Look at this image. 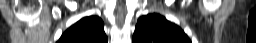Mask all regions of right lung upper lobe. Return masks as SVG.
Instances as JSON below:
<instances>
[{"label":"right lung upper lobe","instance_id":"right-lung-upper-lobe-1","mask_svg":"<svg viewBox=\"0 0 256 43\" xmlns=\"http://www.w3.org/2000/svg\"><path fill=\"white\" fill-rule=\"evenodd\" d=\"M107 40L102 20L89 16L66 30L57 43H107Z\"/></svg>","mask_w":256,"mask_h":43}]
</instances>
